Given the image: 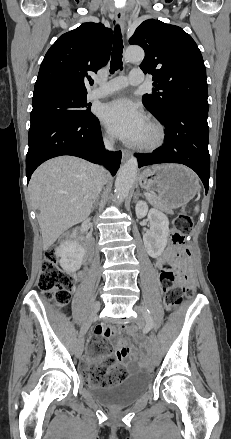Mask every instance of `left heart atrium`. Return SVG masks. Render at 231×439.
<instances>
[{"instance_id": "left-heart-atrium-1", "label": "left heart atrium", "mask_w": 231, "mask_h": 439, "mask_svg": "<svg viewBox=\"0 0 231 439\" xmlns=\"http://www.w3.org/2000/svg\"><path fill=\"white\" fill-rule=\"evenodd\" d=\"M101 119L114 136L133 144L141 141L148 125L143 111L127 98L105 104Z\"/></svg>"}]
</instances>
